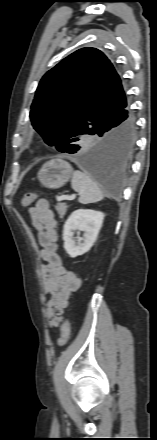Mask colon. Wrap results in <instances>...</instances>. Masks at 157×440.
Returning a JSON list of instances; mask_svg holds the SVG:
<instances>
[{"mask_svg": "<svg viewBox=\"0 0 157 440\" xmlns=\"http://www.w3.org/2000/svg\"><path fill=\"white\" fill-rule=\"evenodd\" d=\"M37 198V195L35 193H26L22 198V205L28 206L30 205L35 199ZM70 338V324L67 319H65L61 326V335L58 339V346H64Z\"/></svg>", "mask_w": 157, "mask_h": 440, "instance_id": "5ec220e1", "label": "colon"}]
</instances>
